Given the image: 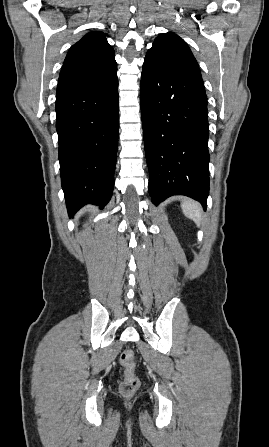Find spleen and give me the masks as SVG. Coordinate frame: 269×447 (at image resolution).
<instances>
[{
  "instance_id": "obj_1",
  "label": "spleen",
  "mask_w": 269,
  "mask_h": 447,
  "mask_svg": "<svg viewBox=\"0 0 269 447\" xmlns=\"http://www.w3.org/2000/svg\"><path fill=\"white\" fill-rule=\"evenodd\" d=\"M181 210L186 218H190V220H193L197 225L201 224L202 216L200 204H197L194 200H190V198H183Z\"/></svg>"
}]
</instances>
